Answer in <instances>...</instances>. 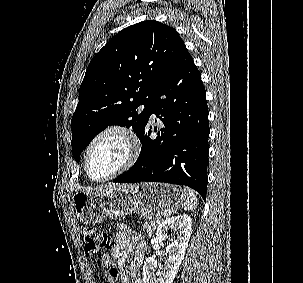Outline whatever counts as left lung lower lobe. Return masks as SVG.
I'll use <instances>...</instances> for the list:
<instances>
[{"label": "left lung lower lobe", "instance_id": "obj_1", "mask_svg": "<svg viewBox=\"0 0 303 283\" xmlns=\"http://www.w3.org/2000/svg\"><path fill=\"white\" fill-rule=\"evenodd\" d=\"M148 113L149 117L154 113L164 128L151 139L152 127L147 123L139 137L143 146L138 160L113 182L185 185L205 200L208 108L201 74L186 47L156 89Z\"/></svg>", "mask_w": 303, "mask_h": 283}]
</instances>
